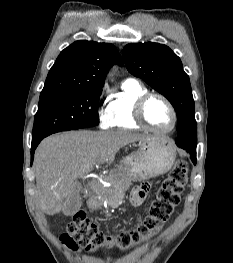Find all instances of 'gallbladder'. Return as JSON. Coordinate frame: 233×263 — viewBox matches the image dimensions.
<instances>
[{"label": "gallbladder", "instance_id": "1", "mask_svg": "<svg viewBox=\"0 0 233 263\" xmlns=\"http://www.w3.org/2000/svg\"><path fill=\"white\" fill-rule=\"evenodd\" d=\"M82 206V201L79 195H75L70 198L66 207L62 210L63 215L65 216H73L76 214Z\"/></svg>", "mask_w": 233, "mask_h": 263}]
</instances>
